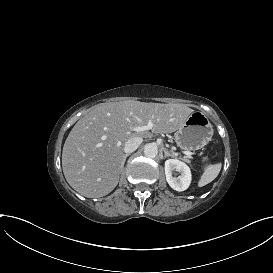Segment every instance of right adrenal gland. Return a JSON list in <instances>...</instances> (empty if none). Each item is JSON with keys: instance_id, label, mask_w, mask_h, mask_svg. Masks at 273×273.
Wrapping results in <instances>:
<instances>
[{"instance_id": "obj_1", "label": "right adrenal gland", "mask_w": 273, "mask_h": 273, "mask_svg": "<svg viewBox=\"0 0 273 273\" xmlns=\"http://www.w3.org/2000/svg\"><path fill=\"white\" fill-rule=\"evenodd\" d=\"M130 155V153H127L124 155V162L126 161V158Z\"/></svg>"}]
</instances>
